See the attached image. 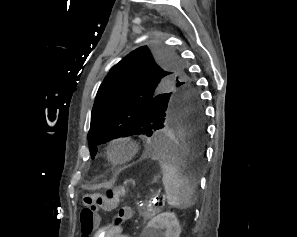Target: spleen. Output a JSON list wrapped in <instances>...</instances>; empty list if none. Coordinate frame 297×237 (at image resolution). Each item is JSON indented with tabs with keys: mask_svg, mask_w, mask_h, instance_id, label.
I'll use <instances>...</instances> for the list:
<instances>
[{
	"mask_svg": "<svg viewBox=\"0 0 297 237\" xmlns=\"http://www.w3.org/2000/svg\"><path fill=\"white\" fill-rule=\"evenodd\" d=\"M163 173L162 182L169 206L187 209L195 204V186L179 167H174L172 161L160 159Z\"/></svg>",
	"mask_w": 297,
	"mask_h": 237,
	"instance_id": "spleen-1",
	"label": "spleen"
}]
</instances>
